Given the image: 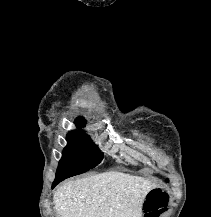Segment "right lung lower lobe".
Returning <instances> with one entry per match:
<instances>
[{"mask_svg": "<svg viewBox=\"0 0 211 217\" xmlns=\"http://www.w3.org/2000/svg\"><path fill=\"white\" fill-rule=\"evenodd\" d=\"M62 179H57L53 182L52 188H54L58 183H60Z\"/></svg>", "mask_w": 211, "mask_h": 217, "instance_id": "1", "label": "right lung lower lobe"}]
</instances>
